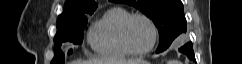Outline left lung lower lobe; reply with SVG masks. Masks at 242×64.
Here are the masks:
<instances>
[{
  "instance_id": "0a47b994",
  "label": "left lung lower lobe",
  "mask_w": 242,
  "mask_h": 64,
  "mask_svg": "<svg viewBox=\"0 0 242 64\" xmlns=\"http://www.w3.org/2000/svg\"><path fill=\"white\" fill-rule=\"evenodd\" d=\"M179 51L186 54L187 57H189L191 60L196 61L191 42L185 44L183 47L179 49ZM157 53H160V52H157Z\"/></svg>"
}]
</instances>
